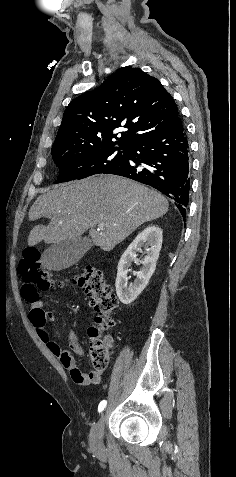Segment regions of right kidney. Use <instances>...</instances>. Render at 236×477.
<instances>
[{"mask_svg": "<svg viewBox=\"0 0 236 477\" xmlns=\"http://www.w3.org/2000/svg\"><path fill=\"white\" fill-rule=\"evenodd\" d=\"M162 237L161 228L157 225L148 226L135 238L121 256L118 263L115 286L117 296L123 304L128 305L133 302L147 286L156 268V262L162 246ZM142 246L147 248V255L140 261L143 265L140 271L134 272L136 276L134 282L128 285L127 274L129 268L132 261L136 260V253Z\"/></svg>", "mask_w": 236, "mask_h": 477, "instance_id": "ca27d5eb", "label": "right kidney"}]
</instances>
